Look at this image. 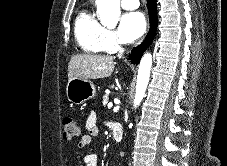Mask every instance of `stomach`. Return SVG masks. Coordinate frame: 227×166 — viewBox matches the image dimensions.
Masks as SVG:
<instances>
[{"mask_svg":"<svg viewBox=\"0 0 227 166\" xmlns=\"http://www.w3.org/2000/svg\"><path fill=\"white\" fill-rule=\"evenodd\" d=\"M96 94L94 84L88 80L73 78L68 81L66 86V95L68 100L76 105L93 98Z\"/></svg>","mask_w":227,"mask_h":166,"instance_id":"obj_1","label":"stomach"}]
</instances>
